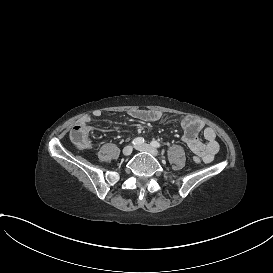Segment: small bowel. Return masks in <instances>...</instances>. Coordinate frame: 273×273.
<instances>
[{
  "instance_id": "1",
  "label": "small bowel",
  "mask_w": 273,
  "mask_h": 273,
  "mask_svg": "<svg viewBox=\"0 0 273 273\" xmlns=\"http://www.w3.org/2000/svg\"><path fill=\"white\" fill-rule=\"evenodd\" d=\"M102 115L103 112L101 110H95L92 113L94 118H100ZM128 115L131 119L140 121H155L163 117V113L161 111L148 109L132 110L128 113ZM85 116L90 117L89 115ZM179 121L182 127L183 142L187 145V141L191 137H198L203 140L205 143V150L203 153L196 155L201 157L205 163H211L219 150V144L216 140L215 130L211 127H207L200 119L192 116H181Z\"/></svg>"
}]
</instances>
